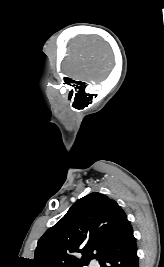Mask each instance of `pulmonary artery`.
Instances as JSON below:
<instances>
[{
	"label": "pulmonary artery",
	"instance_id": "obj_1",
	"mask_svg": "<svg viewBox=\"0 0 164 267\" xmlns=\"http://www.w3.org/2000/svg\"><path fill=\"white\" fill-rule=\"evenodd\" d=\"M92 267H100V265L98 264V262L93 261L92 262Z\"/></svg>",
	"mask_w": 164,
	"mask_h": 267
}]
</instances>
